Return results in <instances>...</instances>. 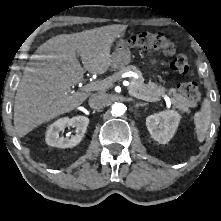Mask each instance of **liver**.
<instances>
[{"instance_id":"obj_1","label":"liver","mask_w":221,"mask_h":221,"mask_svg":"<svg viewBox=\"0 0 221 221\" xmlns=\"http://www.w3.org/2000/svg\"><path fill=\"white\" fill-rule=\"evenodd\" d=\"M123 29V25H109L61 34L36 50L25 67L15 96L14 126L19 137L72 111L88 98V93L72 91L71 87L83 79L85 71L92 74L108 71L112 43Z\"/></svg>"}]
</instances>
